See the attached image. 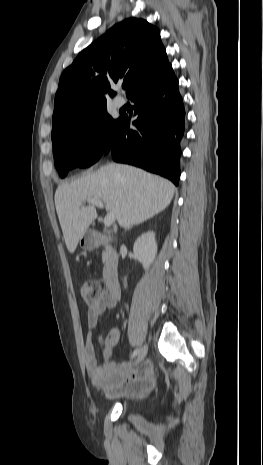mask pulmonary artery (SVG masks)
<instances>
[{
  "label": "pulmonary artery",
  "instance_id": "e3ab8cb5",
  "mask_svg": "<svg viewBox=\"0 0 263 465\" xmlns=\"http://www.w3.org/2000/svg\"><path fill=\"white\" fill-rule=\"evenodd\" d=\"M114 104L117 107H122L125 104V99L123 97H121V96H117L114 99Z\"/></svg>",
  "mask_w": 263,
  "mask_h": 465
}]
</instances>
